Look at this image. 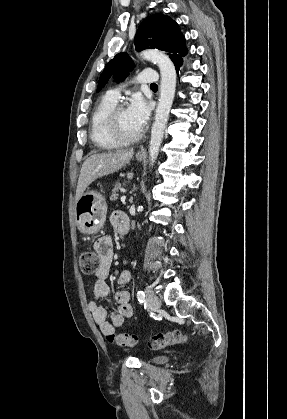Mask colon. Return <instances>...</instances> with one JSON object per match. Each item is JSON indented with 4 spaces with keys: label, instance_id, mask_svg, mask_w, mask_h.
I'll list each match as a JSON object with an SVG mask.
<instances>
[{
    "label": "colon",
    "instance_id": "obj_1",
    "mask_svg": "<svg viewBox=\"0 0 287 419\" xmlns=\"http://www.w3.org/2000/svg\"><path fill=\"white\" fill-rule=\"evenodd\" d=\"M80 268L85 275L95 274L100 266V257L97 252L93 250H86L81 253ZM107 340L122 347H132L137 344L138 337L133 334L121 333V334H108L106 335ZM187 341V337L178 330L159 333L152 336L149 340V347L153 350L162 349L168 346L183 344Z\"/></svg>",
    "mask_w": 287,
    "mask_h": 419
}]
</instances>
